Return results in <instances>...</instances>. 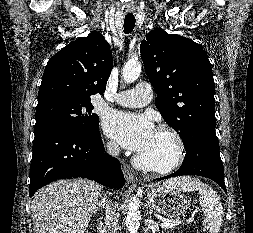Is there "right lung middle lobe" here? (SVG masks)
Wrapping results in <instances>:
<instances>
[{
  "label": "right lung middle lobe",
  "mask_w": 253,
  "mask_h": 233,
  "mask_svg": "<svg viewBox=\"0 0 253 233\" xmlns=\"http://www.w3.org/2000/svg\"><path fill=\"white\" fill-rule=\"evenodd\" d=\"M90 99L53 97L38 103L34 131L47 127L65 128L83 135L98 130L99 117L91 113Z\"/></svg>",
  "instance_id": "dd1d6c3e"
}]
</instances>
